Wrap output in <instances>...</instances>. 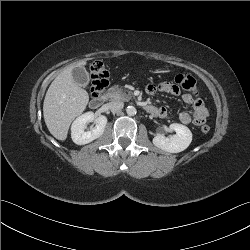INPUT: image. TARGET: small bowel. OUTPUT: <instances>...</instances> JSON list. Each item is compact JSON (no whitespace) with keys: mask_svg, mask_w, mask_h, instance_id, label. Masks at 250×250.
Here are the masks:
<instances>
[{"mask_svg":"<svg viewBox=\"0 0 250 250\" xmlns=\"http://www.w3.org/2000/svg\"><path fill=\"white\" fill-rule=\"evenodd\" d=\"M156 91H163L171 94L179 93V86L173 83H162L158 86L148 85V94H154ZM182 100L185 104L193 107L192 112H183L180 114L179 119L183 124H194L200 126L205 123L208 112L203 100L191 94H183ZM154 107V106H153ZM156 112L153 114L157 117H166L167 109L164 107H154Z\"/></svg>","mask_w":250,"mask_h":250,"instance_id":"c3829d8e","label":"small bowel"}]
</instances>
